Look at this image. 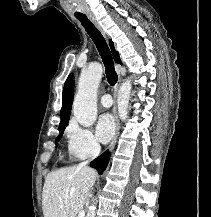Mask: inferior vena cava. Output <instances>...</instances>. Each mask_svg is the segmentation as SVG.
<instances>
[{"label":"inferior vena cava","instance_id":"602c4592","mask_svg":"<svg viewBox=\"0 0 211 217\" xmlns=\"http://www.w3.org/2000/svg\"><path fill=\"white\" fill-rule=\"evenodd\" d=\"M100 152V145H95L94 150H93V156L98 154ZM88 164V161L82 162L79 164L80 167H85Z\"/></svg>","mask_w":211,"mask_h":217}]
</instances>
